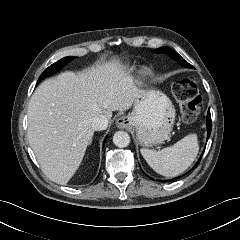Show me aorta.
<instances>
[{
    "label": "aorta",
    "mask_w": 240,
    "mask_h": 240,
    "mask_svg": "<svg viewBox=\"0 0 240 240\" xmlns=\"http://www.w3.org/2000/svg\"><path fill=\"white\" fill-rule=\"evenodd\" d=\"M113 143L120 148L127 147L130 144V136L125 131H117L113 136Z\"/></svg>",
    "instance_id": "aorta-1"
}]
</instances>
